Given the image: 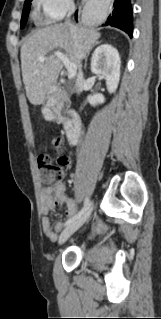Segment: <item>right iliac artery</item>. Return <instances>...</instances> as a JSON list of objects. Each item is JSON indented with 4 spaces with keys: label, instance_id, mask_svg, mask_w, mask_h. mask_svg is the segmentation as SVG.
<instances>
[{
    "label": "right iliac artery",
    "instance_id": "obj_1",
    "mask_svg": "<svg viewBox=\"0 0 161 319\" xmlns=\"http://www.w3.org/2000/svg\"><path fill=\"white\" fill-rule=\"evenodd\" d=\"M89 206H90L89 198H86L83 209L81 211H79L75 216H73L72 218L68 219L64 225L67 226L68 224L72 223L74 220H76L79 217H81L87 211Z\"/></svg>",
    "mask_w": 161,
    "mask_h": 319
}]
</instances>
